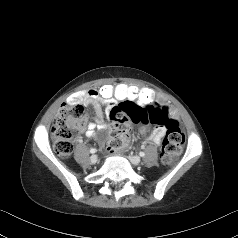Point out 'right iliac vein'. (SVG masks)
Wrapping results in <instances>:
<instances>
[{"mask_svg":"<svg viewBox=\"0 0 238 238\" xmlns=\"http://www.w3.org/2000/svg\"><path fill=\"white\" fill-rule=\"evenodd\" d=\"M97 162V156L96 155H92L91 157H90V163L91 164H95Z\"/></svg>","mask_w":238,"mask_h":238,"instance_id":"1","label":"right iliac vein"}]
</instances>
